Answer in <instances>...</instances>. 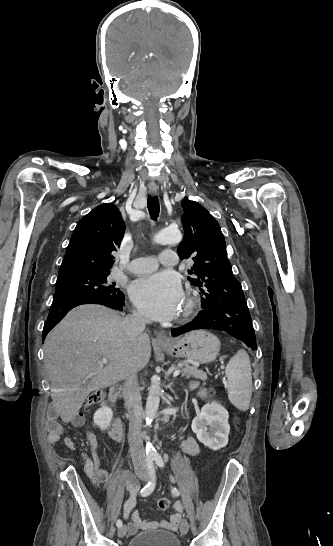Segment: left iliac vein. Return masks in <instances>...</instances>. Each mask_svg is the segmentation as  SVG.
Wrapping results in <instances>:
<instances>
[{"instance_id": "1", "label": "left iliac vein", "mask_w": 333, "mask_h": 546, "mask_svg": "<svg viewBox=\"0 0 333 546\" xmlns=\"http://www.w3.org/2000/svg\"><path fill=\"white\" fill-rule=\"evenodd\" d=\"M180 531L183 535H186L189 531V523L186 518H183L180 523Z\"/></svg>"}]
</instances>
